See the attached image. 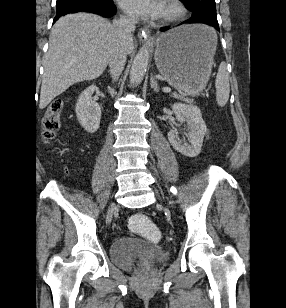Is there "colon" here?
I'll return each mask as SVG.
<instances>
[{
  "label": "colon",
  "mask_w": 286,
  "mask_h": 308,
  "mask_svg": "<svg viewBox=\"0 0 286 308\" xmlns=\"http://www.w3.org/2000/svg\"><path fill=\"white\" fill-rule=\"evenodd\" d=\"M63 105L62 99H54L50 102L42 118V138L45 141L52 140L60 130ZM130 228L152 242L160 239L157 227L143 214L138 213L131 217Z\"/></svg>",
  "instance_id": "5ec220e1"
}]
</instances>
